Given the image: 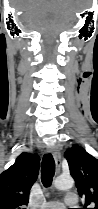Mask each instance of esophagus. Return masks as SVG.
I'll use <instances>...</instances> for the list:
<instances>
[{
    "label": "esophagus",
    "instance_id": "esophagus-1",
    "mask_svg": "<svg viewBox=\"0 0 98 209\" xmlns=\"http://www.w3.org/2000/svg\"><path fill=\"white\" fill-rule=\"evenodd\" d=\"M48 151L52 153V155L54 157V160H55L57 171H59L60 167H61V153H60V150L57 147H50V148H48Z\"/></svg>",
    "mask_w": 98,
    "mask_h": 209
}]
</instances>
